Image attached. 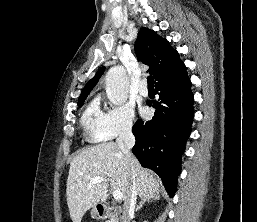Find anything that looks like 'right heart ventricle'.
Returning <instances> with one entry per match:
<instances>
[{
    "instance_id": "obj_1",
    "label": "right heart ventricle",
    "mask_w": 257,
    "mask_h": 222,
    "mask_svg": "<svg viewBox=\"0 0 257 222\" xmlns=\"http://www.w3.org/2000/svg\"><path fill=\"white\" fill-rule=\"evenodd\" d=\"M101 116L102 112L100 110L99 100L93 99L88 104L81 117V124L92 140H97Z\"/></svg>"
}]
</instances>
